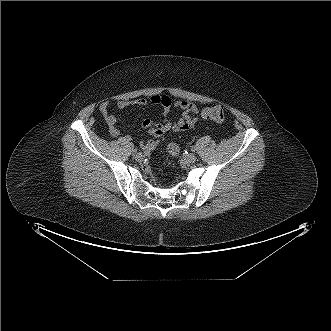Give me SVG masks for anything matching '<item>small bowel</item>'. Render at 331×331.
Segmentation results:
<instances>
[{
  "label": "small bowel",
  "instance_id": "obj_1",
  "mask_svg": "<svg viewBox=\"0 0 331 331\" xmlns=\"http://www.w3.org/2000/svg\"><path fill=\"white\" fill-rule=\"evenodd\" d=\"M149 104L158 105L162 107L164 120L160 123H156L150 119H145L142 122V128L154 139L141 140L140 146L146 151L154 150L160 143V140L169 131L184 132L194 128L201 115L196 104L186 100L172 101L168 96L153 95L149 98H137L134 100H119L116 103L118 109H125L130 106H147ZM110 104L103 102L99 106L100 113L104 117L107 125L109 126V132L112 136L117 137L120 135V131L117 128V116L109 111ZM173 110L180 113L178 119L172 120L170 114ZM126 140H130L131 136L126 135Z\"/></svg>",
  "mask_w": 331,
  "mask_h": 331
}]
</instances>
